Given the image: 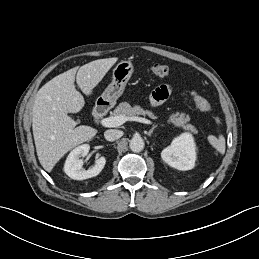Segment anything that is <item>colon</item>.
Segmentation results:
<instances>
[{
  "label": "colon",
  "instance_id": "1",
  "mask_svg": "<svg viewBox=\"0 0 259 259\" xmlns=\"http://www.w3.org/2000/svg\"><path fill=\"white\" fill-rule=\"evenodd\" d=\"M151 72L157 77H166L170 75V69L167 65L156 63L151 66ZM191 97L196 107L204 112L212 111V105L210 102L198 92L192 91Z\"/></svg>",
  "mask_w": 259,
  "mask_h": 259
}]
</instances>
